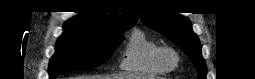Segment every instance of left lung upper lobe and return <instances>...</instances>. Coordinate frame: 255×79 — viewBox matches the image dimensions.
Instances as JSON below:
<instances>
[{"mask_svg": "<svg viewBox=\"0 0 255 79\" xmlns=\"http://www.w3.org/2000/svg\"><path fill=\"white\" fill-rule=\"evenodd\" d=\"M141 20L178 45L191 59L199 79H206V65L201 55L198 37L192 32L190 21L176 13L150 11L141 13Z\"/></svg>", "mask_w": 255, "mask_h": 79, "instance_id": "5c2ea615", "label": "left lung upper lobe"}]
</instances>
